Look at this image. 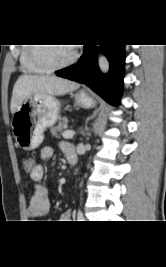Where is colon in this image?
Masks as SVG:
<instances>
[{"label":"colon","instance_id":"1","mask_svg":"<svg viewBox=\"0 0 166 267\" xmlns=\"http://www.w3.org/2000/svg\"><path fill=\"white\" fill-rule=\"evenodd\" d=\"M35 166V160L32 158L26 159L23 162V168L25 171L30 172Z\"/></svg>","mask_w":166,"mask_h":267}]
</instances>
